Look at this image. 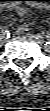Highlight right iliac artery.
<instances>
[{"instance_id": "1", "label": "right iliac artery", "mask_w": 50, "mask_h": 111, "mask_svg": "<svg viewBox=\"0 0 50 111\" xmlns=\"http://www.w3.org/2000/svg\"><path fill=\"white\" fill-rule=\"evenodd\" d=\"M2 33H3L4 35H6L7 37H9V36H10L9 31H2Z\"/></svg>"}]
</instances>
